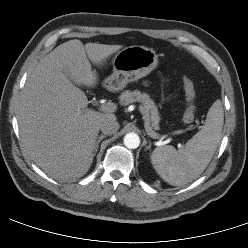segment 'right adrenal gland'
I'll return each mask as SVG.
<instances>
[{"label":"right adrenal gland","instance_id":"1","mask_svg":"<svg viewBox=\"0 0 248 248\" xmlns=\"http://www.w3.org/2000/svg\"><path fill=\"white\" fill-rule=\"evenodd\" d=\"M106 137V135H100L97 140L95 141V146H94V153L93 156L96 155L97 151H98V147H99V143Z\"/></svg>","mask_w":248,"mask_h":248}]
</instances>
